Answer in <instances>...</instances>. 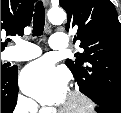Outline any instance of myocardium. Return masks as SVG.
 Returning <instances> with one entry per match:
<instances>
[{"label":"myocardium","instance_id":"f54148a6","mask_svg":"<svg viewBox=\"0 0 121 113\" xmlns=\"http://www.w3.org/2000/svg\"><path fill=\"white\" fill-rule=\"evenodd\" d=\"M69 98L72 100V104L65 105L61 109L67 112H75L77 110H94L95 102L91 97L86 95L80 89H72L68 92Z\"/></svg>","mask_w":121,"mask_h":113}]
</instances>
